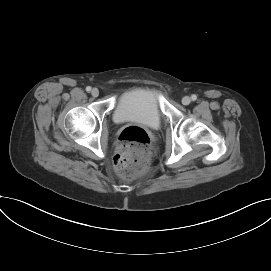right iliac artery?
<instances>
[{"label": "right iliac artery", "instance_id": "obj_1", "mask_svg": "<svg viewBox=\"0 0 271 271\" xmlns=\"http://www.w3.org/2000/svg\"><path fill=\"white\" fill-rule=\"evenodd\" d=\"M86 91L90 92L91 91V87L90 86L86 87Z\"/></svg>", "mask_w": 271, "mask_h": 271}]
</instances>
